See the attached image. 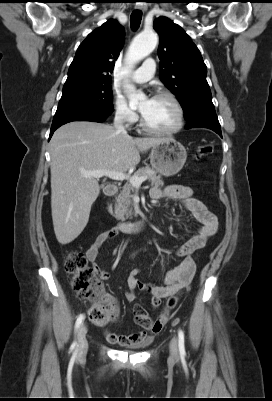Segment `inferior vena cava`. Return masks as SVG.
<instances>
[{
	"mask_svg": "<svg viewBox=\"0 0 272 401\" xmlns=\"http://www.w3.org/2000/svg\"><path fill=\"white\" fill-rule=\"evenodd\" d=\"M124 119H125V114L124 113H121V112L116 113L115 118H114L113 126H114L115 130L118 133H121L123 135H127V131H126L124 125H123L124 124Z\"/></svg>",
	"mask_w": 272,
	"mask_h": 401,
	"instance_id": "obj_1",
	"label": "inferior vena cava"
}]
</instances>
